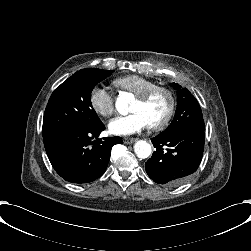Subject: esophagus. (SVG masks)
Returning a JSON list of instances; mask_svg holds the SVG:
<instances>
[{"label":"esophagus","mask_w":251,"mask_h":251,"mask_svg":"<svg viewBox=\"0 0 251 251\" xmlns=\"http://www.w3.org/2000/svg\"><path fill=\"white\" fill-rule=\"evenodd\" d=\"M136 141V138H132V137H126L124 138V143L125 144H132Z\"/></svg>","instance_id":"esophagus-1"}]
</instances>
